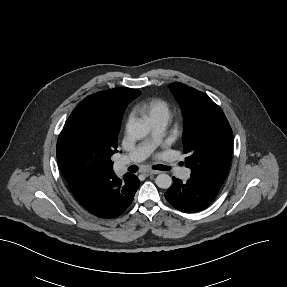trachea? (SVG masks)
<instances>
[{
    "label": "trachea",
    "instance_id": "trachea-1",
    "mask_svg": "<svg viewBox=\"0 0 287 287\" xmlns=\"http://www.w3.org/2000/svg\"><path fill=\"white\" fill-rule=\"evenodd\" d=\"M153 169L156 170H161V171H168L170 169V167L165 166V165H156L153 167ZM128 171L130 172H137L138 171V167L136 165H132L128 168Z\"/></svg>",
    "mask_w": 287,
    "mask_h": 287
}]
</instances>
